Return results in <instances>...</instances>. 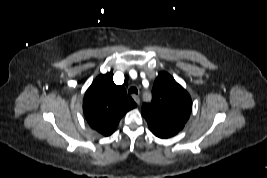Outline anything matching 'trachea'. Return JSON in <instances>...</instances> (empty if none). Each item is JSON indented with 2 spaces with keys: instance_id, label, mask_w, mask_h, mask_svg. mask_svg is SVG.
<instances>
[{
  "instance_id": "3493384b",
  "label": "trachea",
  "mask_w": 267,
  "mask_h": 178,
  "mask_svg": "<svg viewBox=\"0 0 267 178\" xmlns=\"http://www.w3.org/2000/svg\"><path fill=\"white\" fill-rule=\"evenodd\" d=\"M128 94L130 95V94H138V90H137V88L136 87H131V88H129V90H128Z\"/></svg>"
}]
</instances>
